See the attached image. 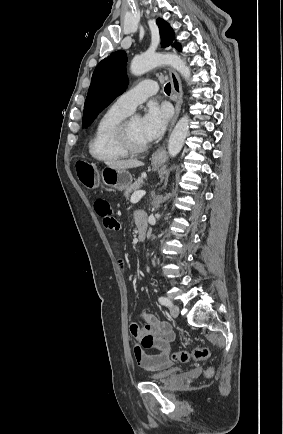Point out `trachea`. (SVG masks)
Segmentation results:
<instances>
[{
  "mask_svg": "<svg viewBox=\"0 0 283 434\" xmlns=\"http://www.w3.org/2000/svg\"><path fill=\"white\" fill-rule=\"evenodd\" d=\"M164 90H165V93H166V94H170V90H171V85H170V83L166 84Z\"/></svg>",
  "mask_w": 283,
  "mask_h": 434,
  "instance_id": "3493384b",
  "label": "trachea"
}]
</instances>
